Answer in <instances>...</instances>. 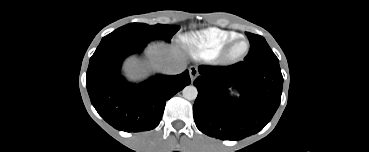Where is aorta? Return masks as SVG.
I'll use <instances>...</instances> for the list:
<instances>
[{"label": "aorta", "instance_id": "1", "mask_svg": "<svg viewBox=\"0 0 369 152\" xmlns=\"http://www.w3.org/2000/svg\"><path fill=\"white\" fill-rule=\"evenodd\" d=\"M182 94H183V97L187 100H195L198 95V91L195 86L188 85L184 87V89L182 90Z\"/></svg>", "mask_w": 369, "mask_h": 152}]
</instances>
